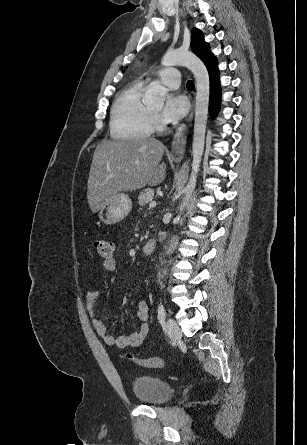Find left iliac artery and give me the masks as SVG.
Here are the masks:
<instances>
[{"label":"left iliac artery","instance_id":"1","mask_svg":"<svg viewBox=\"0 0 307 445\" xmlns=\"http://www.w3.org/2000/svg\"><path fill=\"white\" fill-rule=\"evenodd\" d=\"M165 318H166L165 308L163 304L160 303L158 306V320L161 324H163L165 322Z\"/></svg>","mask_w":307,"mask_h":445}]
</instances>
